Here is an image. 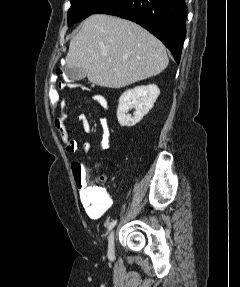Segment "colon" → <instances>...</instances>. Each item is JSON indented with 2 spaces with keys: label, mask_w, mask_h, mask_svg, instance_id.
<instances>
[{
  "label": "colon",
  "mask_w": 240,
  "mask_h": 287,
  "mask_svg": "<svg viewBox=\"0 0 240 287\" xmlns=\"http://www.w3.org/2000/svg\"><path fill=\"white\" fill-rule=\"evenodd\" d=\"M61 74V71L58 70L52 74L50 79V87L47 94V104L50 110V114L53 120L54 125L59 124L66 119V102L61 96V91L70 87V88H81L82 86L78 84L68 83L64 81H59L58 78ZM75 177L77 178V184L81 190L85 192H90L92 189L87 185L85 178V171L80 167L79 164H75L73 167Z\"/></svg>",
  "instance_id": "5ec220e1"
}]
</instances>
